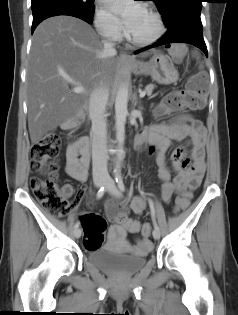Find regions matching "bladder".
<instances>
[{
	"label": "bladder",
	"mask_w": 238,
	"mask_h": 315,
	"mask_svg": "<svg viewBox=\"0 0 238 315\" xmlns=\"http://www.w3.org/2000/svg\"><path fill=\"white\" fill-rule=\"evenodd\" d=\"M86 259L103 271L118 276H126L143 268L147 262V255H129L106 248H92L88 249Z\"/></svg>",
	"instance_id": "obj_1"
}]
</instances>
